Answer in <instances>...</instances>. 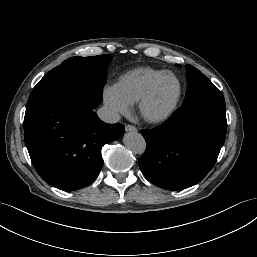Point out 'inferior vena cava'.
Segmentation results:
<instances>
[{
	"label": "inferior vena cava",
	"mask_w": 257,
	"mask_h": 257,
	"mask_svg": "<svg viewBox=\"0 0 257 257\" xmlns=\"http://www.w3.org/2000/svg\"><path fill=\"white\" fill-rule=\"evenodd\" d=\"M99 118L106 123H116L120 120V115L117 111L103 106L97 110Z\"/></svg>",
	"instance_id": "inferior-vena-cava-1"
}]
</instances>
